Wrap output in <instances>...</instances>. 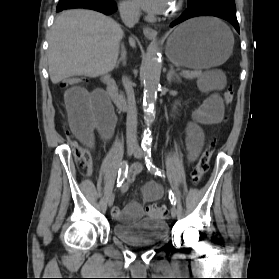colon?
Listing matches in <instances>:
<instances>
[{
	"instance_id": "5ec220e1",
	"label": "colon",
	"mask_w": 279,
	"mask_h": 279,
	"mask_svg": "<svg viewBox=\"0 0 279 279\" xmlns=\"http://www.w3.org/2000/svg\"><path fill=\"white\" fill-rule=\"evenodd\" d=\"M86 81V79L82 76H76V77H69L60 82V86L62 88H69V87H75L80 85ZM234 99V90L232 87H228L224 93V101L225 103L229 104ZM216 145V140L214 138H211L201 155L199 156L198 160L196 161V164L192 171V180L194 184H198L205 173L209 169V162L213 155L214 149ZM73 153L75 157V161L78 167L80 168H91L92 166V155L90 151L82 146L76 145L73 147ZM147 214L153 218L156 219H164L168 216V211L165 207L157 206V205H149L146 208Z\"/></svg>"
}]
</instances>
